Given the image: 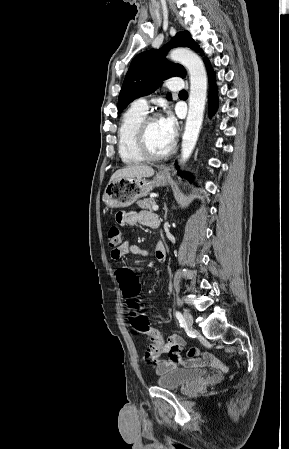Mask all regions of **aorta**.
Wrapping results in <instances>:
<instances>
[{
  "label": "aorta",
  "mask_w": 289,
  "mask_h": 449,
  "mask_svg": "<svg viewBox=\"0 0 289 449\" xmlns=\"http://www.w3.org/2000/svg\"><path fill=\"white\" fill-rule=\"evenodd\" d=\"M169 57L184 65L190 76L189 111L181 145V161L185 162L194 150L201 129L207 96V74L200 57L188 49L176 48Z\"/></svg>",
  "instance_id": "762f6f07"
}]
</instances>
